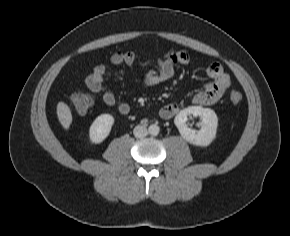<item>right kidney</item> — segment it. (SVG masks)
Wrapping results in <instances>:
<instances>
[{
	"label": "right kidney",
	"mask_w": 290,
	"mask_h": 236,
	"mask_svg": "<svg viewBox=\"0 0 290 236\" xmlns=\"http://www.w3.org/2000/svg\"><path fill=\"white\" fill-rule=\"evenodd\" d=\"M113 124L114 117L112 115L102 114L98 116L90 126V141L95 144L101 143L109 135Z\"/></svg>",
	"instance_id": "1"
}]
</instances>
